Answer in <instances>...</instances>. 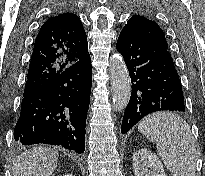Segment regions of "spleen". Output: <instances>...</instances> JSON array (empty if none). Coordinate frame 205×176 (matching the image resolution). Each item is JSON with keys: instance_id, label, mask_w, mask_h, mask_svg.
Returning <instances> with one entry per match:
<instances>
[{"instance_id": "obj_1", "label": "spleen", "mask_w": 205, "mask_h": 176, "mask_svg": "<svg viewBox=\"0 0 205 176\" xmlns=\"http://www.w3.org/2000/svg\"><path fill=\"white\" fill-rule=\"evenodd\" d=\"M138 130L156 143L162 161L173 176H195V140L189 125L179 115L154 113L139 123Z\"/></svg>"}]
</instances>
